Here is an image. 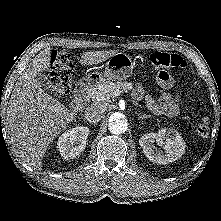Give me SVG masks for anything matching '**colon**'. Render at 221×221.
Listing matches in <instances>:
<instances>
[{
  "label": "colon",
  "instance_id": "colon-1",
  "mask_svg": "<svg viewBox=\"0 0 221 221\" xmlns=\"http://www.w3.org/2000/svg\"><path fill=\"white\" fill-rule=\"evenodd\" d=\"M50 62L53 66L50 81L53 91L57 95H65L71 88L73 74V62L66 50H54L50 53ZM151 64L159 69L157 81L164 88L169 89L172 85V78L163 68H185L186 61L178 54L156 51L150 55ZM210 131V121L208 117H203L197 125V132L208 135Z\"/></svg>",
  "mask_w": 221,
  "mask_h": 221
}]
</instances>
